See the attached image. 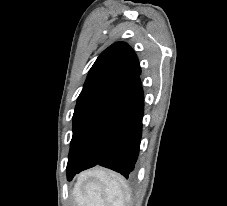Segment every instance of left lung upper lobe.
Wrapping results in <instances>:
<instances>
[{
    "instance_id": "1",
    "label": "left lung upper lobe",
    "mask_w": 227,
    "mask_h": 206,
    "mask_svg": "<svg viewBox=\"0 0 227 206\" xmlns=\"http://www.w3.org/2000/svg\"><path fill=\"white\" fill-rule=\"evenodd\" d=\"M140 73L134 50L124 42L112 44L98 56L77 99L67 169L85 156L97 123L111 100Z\"/></svg>"
}]
</instances>
